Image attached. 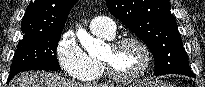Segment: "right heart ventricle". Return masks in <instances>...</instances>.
I'll list each match as a JSON object with an SVG mask.
<instances>
[{
	"label": "right heart ventricle",
	"instance_id": "e07e8e85",
	"mask_svg": "<svg viewBox=\"0 0 205 87\" xmlns=\"http://www.w3.org/2000/svg\"><path fill=\"white\" fill-rule=\"evenodd\" d=\"M95 34L107 40H111L114 37V36L104 35L100 33H95ZM89 58H90L91 66H92V72L89 75L81 78V80L85 82L98 81L103 77L104 71L102 69V66L99 60L92 58V57H89Z\"/></svg>",
	"mask_w": 205,
	"mask_h": 87
}]
</instances>
